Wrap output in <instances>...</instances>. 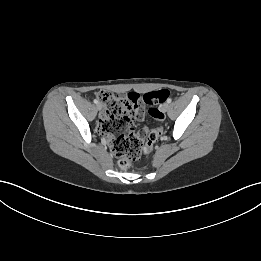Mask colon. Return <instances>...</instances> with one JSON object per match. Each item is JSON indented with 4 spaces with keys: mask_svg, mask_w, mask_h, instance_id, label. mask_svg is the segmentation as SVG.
<instances>
[{
    "mask_svg": "<svg viewBox=\"0 0 261 261\" xmlns=\"http://www.w3.org/2000/svg\"><path fill=\"white\" fill-rule=\"evenodd\" d=\"M170 95V91L162 89L149 92L143 95L142 100L150 105L163 102ZM97 97L104 105V112L100 121L99 130L102 134L112 136L111 148L119 158L117 165L121 169H127L132 163L139 160L143 153L148 152L153 144L159 139L160 129H150L146 138H141L139 132L133 128V110L140 102L141 97L137 94H130L127 98L116 95L112 92L101 90ZM149 114L159 122H163L166 116L159 108L151 107ZM145 142V144H143Z\"/></svg>",
    "mask_w": 261,
    "mask_h": 261,
    "instance_id": "5ec220e1",
    "label": "colon"
}]
</instances>
